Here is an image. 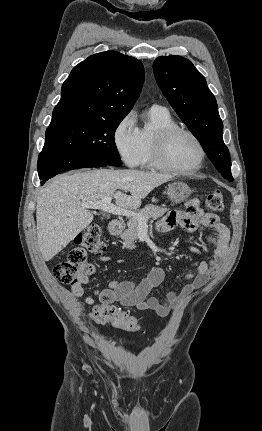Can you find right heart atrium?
<instances>
[{
	"mask_svg": "<svg viewBox=\"0 0 262 431\" xmlns=\"http://www.w3.org/2000/svg\"><path fill=\"white\" fill-rule=\"evenodd\" d=\"M113 143L116 151L128 166L139 164L141 155L139 129L131 113L125 115L115 126Z\"/></svg>",
	"mask_w": 262,
	"mask_h": 431,
	"instance_id": "d8ad5b80",
	"label": "right heart atrium"
}]
</instances>
